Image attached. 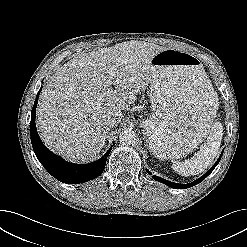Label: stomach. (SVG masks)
Listing matches in <instances>:
<instances>
[{"instance_id":"obj_1","label":"stomach","mask_w":247,"mask_h":247,"mask_svg":"<svg viewBox=\"0 0 247 247\" xmlns=\"http://www.w3.org/2000/svg\"><path fill=\"white\" fill-rule=\"evenodd\" d=\"M152 114L143 124L151 152L159 159H178L208 135L217 96L200 60L172 48L150 62Z\"/></svg>"}]
</instances>
